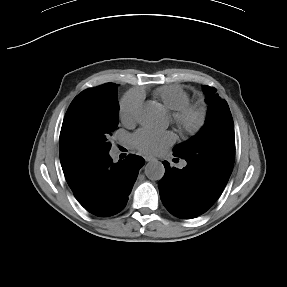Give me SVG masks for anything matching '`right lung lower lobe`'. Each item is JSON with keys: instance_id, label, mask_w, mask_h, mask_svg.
Here are the masks:
<instances>
[{"instance_id": "1", "label": "right lung lower lobe", "mask_w": 287, "mask_h": 287, "mask_svg": "<svg viewBox=\"0 0 287 287\" xmlns=\"http://www.w3.org/2000/svg\"><path fill=\"white\" fill-rule=\"evenodd\" d=\"M143 165L144 159L137 155L130 154L117 164L107 154L80 169L68 184L86 210L111 216L125 207Z\"/></svg>"}]
</instances>
